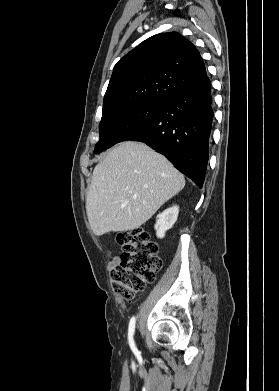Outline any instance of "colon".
Returning a JSON list of instances; mask_svg holds the SVG:
<instances>
[{
	"instance_id": "5ec220e1",
	"label": "colon",
	"mask_w": 279,
	"mask_h": 391,
	"mask_svg": "<svg viewBox=\"0 0 279 391\" xmlns=\"http://www.w3.org/2000/svg\"><path fill=\"white\" fill-rule=\"evenodd\" d=\"M116 240L122 253L111 270L112 287L117 295L131 300L155 281L162 260L158 256L157 243L143 228L121 232Z\"/></svg>"
}]
</instances>
